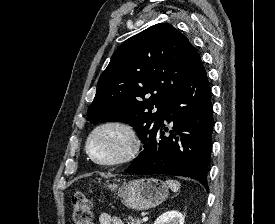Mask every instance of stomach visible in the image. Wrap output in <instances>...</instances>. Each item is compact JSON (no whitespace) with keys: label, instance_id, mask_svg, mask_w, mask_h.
Masks as SVG:
<instances>
[{"label":"stomach","instance_id":"0dacf381","mask_svg":"<svg viewBox=\"0 0 275 224\" xmlns=\"http://www.w3.org/2000/svg\"><path fill=\"white\" fill-rule=\"evenodd\" d=\"M168 193V187L163 181L143 178L123 183L117 194L128 208L143 211L160 205Z\"/></svg>","mask_w":275,"mask_h":224}]
</instances>
